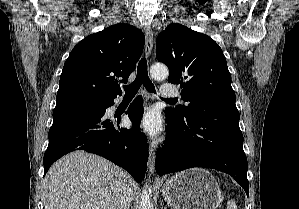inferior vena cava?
I'll use <instances>...</instances> for the list:
<instances>
[{
  "mask_svg": "<svg viewBox=\"0 0 299 209\" xmlns=\"http://www.w3.org/2000/svg\"><path fill=\"white\" fill-rule=\"evenodd\" d=\"M131 202V193L129 189V185L126 183L124 188H123V193L121 195L119 204H118V209H129Z\"/></svg>",
  "mask_w": 299,
  "mask_h": 209,
  "instance_id": "1",
  "label": "inferior vena cava"
}]
</instances>
